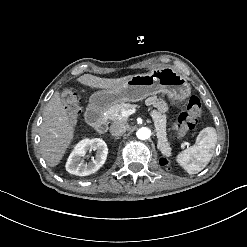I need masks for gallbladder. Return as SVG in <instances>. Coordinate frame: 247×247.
I'll return each instance as SVG.
<instances>
[{"mask_svg":"<svg viewBox=\"0 0 247 247\" xmlns=\"http://www.w3.org/2000/svg\"><path fill=\"white\" fill-rule=\"evenodd\" d=\"M72 104H73V105H74V104H76V100H75V101H73V102H72Z\"/></svg>","mask_w":247,"mask_h":247,"instance_id":"1","label":"gallbladder"}]
</instances>
